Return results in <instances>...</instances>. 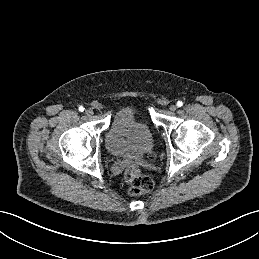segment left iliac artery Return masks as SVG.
Returning <instances> with one entry per match:
<instances>
[{
    "label": "left iliac artery",
    "mask_w": 259,
    "mask_h": 259,
    "mask_svg": "<svg viewBox=\"0 0 259 259\" xmlns=\"http://www.w3.org/2000/svg\"><path fill=\"white\" fill-rule=\"evenodd\" d=\"M177 106H178V107L183 106V102H182V101H178V102H177Z\"/></svg>",
    "instance_id": "44dca946"
}]
</instances>
